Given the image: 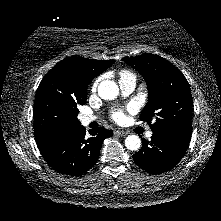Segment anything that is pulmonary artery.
<instances>
[{"instance_id":"e3ab8cb5","label":"pulmonary artery","mask_w":221,"mask_h":221,"mask_svg":"<svg viewBox=\"0 0 221 221\" xmlns=\"http://www.w3.org/2000/svg\"><path fill=\"white\" fill-rule=\"evenodd\" d=\"M119 86H120L122 95L128 96L134 91L136 87V79L133 77L121 79L119 80ZM96 119H97V116L88 114V115H84L81 117V122L83 125H88L89 123L95 121ZM152 134H153L152 131H148L146 133V136L150 138Z\"/></svg>"}]
</instances>
